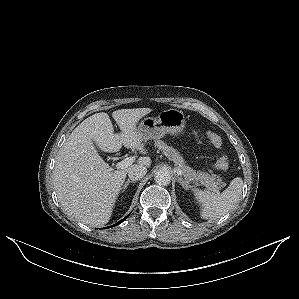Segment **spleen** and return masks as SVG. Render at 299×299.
I'll return each instance as SVG.
<instances>
[{
    "mask_svg": "<svg viewBox=\"0 0 299 299\" xmlns=\"http://www.w3.org/2000/svg\"><path fill=\"white\" fill-rule=\"evenodd\" d=\"M243 180L234 178L222 193L194 189L196 201L201 205L200 215L203 219H217L229 212L240 200Z\"/></svg>",
    "mask_w": 299,
    "mask_h": 299,
    "instance_id": "3e777b00",
    "label": "spleen"
}]
</instances>
